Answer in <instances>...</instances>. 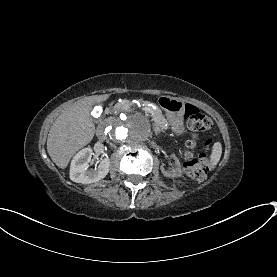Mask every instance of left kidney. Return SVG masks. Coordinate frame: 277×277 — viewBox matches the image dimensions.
I'll return each instance as SVG.
<instances>
[{"mask_svg": "<svg viewBox=\"0 0 277 277\" xmlns=\"http://www.w3.org/2000/svg\"><path fill=\"white\" fill-rule=\"evenodd\" d=\"M174 160H175V163H176V167L173 168L172 170H165L163 165L160 167L161 169V172L163 173L164 176L166 177H178V176H181V165H180V162L178 160V158L176 156H173Z\"/></svg>", "mask_w": 277, "mask_h": 277, "instance_id": "obj_1", "label": "left kidney"}]
</instances>
